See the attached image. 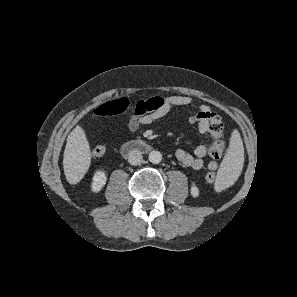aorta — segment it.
<instances>
[{"instance_id": "1", "label": "aorta", "mask_w": 297, "mask_h": 297, "mask_svg": "<svg viewBox=\"0 0 297 297\" xmlns=\"http://www.w3.org/2000/svg\"><path fill=\"white\" fill-rule=\"evenodd\" d=\"M162 160V154L159 151H151L149 153V161L153 164H158Z\"/></svg>"}]
</instances>
